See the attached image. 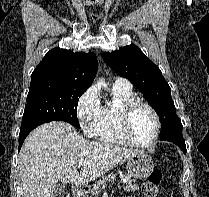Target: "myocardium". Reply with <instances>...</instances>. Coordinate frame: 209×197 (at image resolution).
Wrapping results in <instances>:
<instances>
[{
  "instance_id": "myocardium-1",
  "label": "myocardium",
  "mask_w": 209,
  "mask_h": 197,
  "mask_svg": "<svg viewBox=\"0 0 209 197\" xmlns=\"http://www.w3.org/2000/svg\"><path fill=\"white\" fill-rule=\"evenodd\" d=\"M138 106L146 107L152 113L155 120L154 133L148 142H138L132 137L131 134L130 118L133 110ZM119 127L121 134L127 143L139 148H148L154 145L159 137L160 128H161L160 116L157 110L150 103H148L147 101L141 98L134 97L128 102L123 103L119 107Z\"/></svg>"
}]
</instances>
